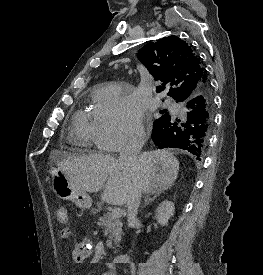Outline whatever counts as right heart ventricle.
<instances>
[{
	"label": "right heart ventricle",
	"mask_w": 263,
	"mask_h": 275,
	"mask_svg": "<svg viewBox=\"0 0 263 275\" xmlns=\"http://www.w3.org/2000/svg\"><path fill=\"white\" fill-rule=\"evenodd\" d=\"M96 116L95 112H78L73 120L71 142L79 147H86L95 141Z\"/></svg>",
	"instance_id": "1"
}]
</instances>
